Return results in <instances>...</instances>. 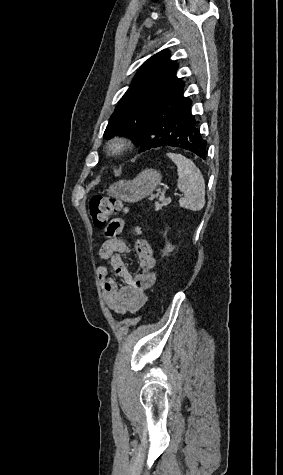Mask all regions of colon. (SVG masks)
Segmentation results:
<instances>
[{
  "instance_id": "obj_1",
  "label": "colon",
  "mask_w": 283,
  "mask_h": 475,
  "mask_svg": "<svg viewBox=\"0 0 283 475\" xmlns=\"http://www.w3.org/2000/svg\"><path fill=\"white\" fill-rule=\"evenodd\" d=\"M125 204L114 197L97 195L91 199L88 205V212L93 225L98 228H104L111 216L115 213L126 212ZM135 233V245L139 258V272L135 279L144 278L153 275L155 260L152 253L150 243L141 237V229L139 226L133 227ZM135 284V280H131Z\"/></svg>"
}]
</instances>
